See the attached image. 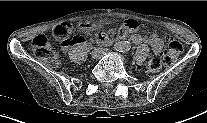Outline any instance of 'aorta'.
<instances>
[{"instance_id":"aorta-1","label":"aorta","mask_w":207,"mask_h":123,"mask_svg":"<svg viewBox=\"0 0 207 123\" xmlns=\"http://www.w3.org/2000/svg\"><path fill=\"white\" fill-rule=\"evenodd\" d=\"M117 50L119 51H127L130 48V43L128 41H120L117 46H116Z\"/></svg>"}]
</instances>
